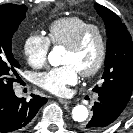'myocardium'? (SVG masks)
Here are the masks:
<instances>
[{
  "label": "myocardium",
  "instance_id": "1",
  "mask_svg": "<svg viewBox=\"0 0 133 133\" xmlns=\"http://www.w3.org/2000/svg\"><path fill=\"white\" fill-rule=\"evenodd\" d=\"M90 32H95L98 36L99 55L92 68L80 72L84 77H92L96 75L101 71L105 64L107 57V37L104 30L97 24L89 23L78 32L75 38L67 46H65V48L70 51H77L82 46L85 38Z\"/></svg>",
  "mask_w": 133,
  "mask_h": 133
}]
</instances>
